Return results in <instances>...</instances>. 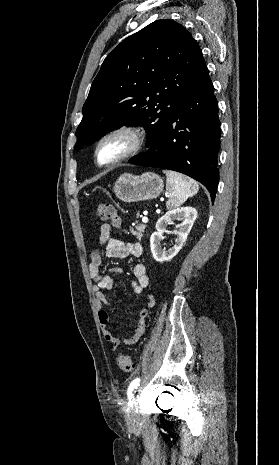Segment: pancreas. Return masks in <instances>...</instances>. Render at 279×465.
I'll use <instances>...</instances> for the list:
<instances>
[{"label":"pancreas","mask_w":279,"mask_h":465,"mask_svg":"<svg viewBox=\"0 0 279 465\" xmlns=\"http://www.w3.org/2000/svg\"><path fill=\"white\" fill-rule=\"evenodd\" d=\"M145 229H146V225L140 224V225L135 226V229L131 228L130 231L138 239H141L143 237V233Z\"/></svg>","instance_id":"1"}]
</instances>
